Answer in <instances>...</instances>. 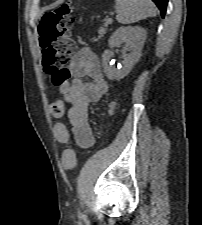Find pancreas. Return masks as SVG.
<instances>
[{"label":"pancreas","instance_id":"1","mask_svg":"<svg viewBox=\"0 0 202 225\" xmlns=\"http://www.w3.org/2000/svg\"><path fill=\"white\" fill-rule=\"evenodd\" d=\"M109 25V23L107 22V20H105V23H104V27H107ZM98 34H99V37L103 36L105 34V29L104 28H99L98 29Z\"/></svg>","mask_w":202,"mask_h":225}]
</instances>
